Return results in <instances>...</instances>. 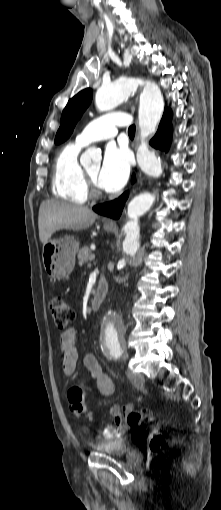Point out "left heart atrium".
<instances>
[{
	"instance_id": "left-heart-atrium-1",
	"label": "left heart atrium",
	"mask_w": 221,
	"mask_h": 510,
	"mask_svg": "<svg viewBox=\"0 0 221 510\" xmlns=\"http://www.w3.org/2000/svg\"><path fill=\"white\" fill-rule=\"evenodd\" d=\"M130 172V157L124 147L110 144L106 147L103 163L98 175V186L107 191L121 189Z\"/></svg>"
}]
</instances>
